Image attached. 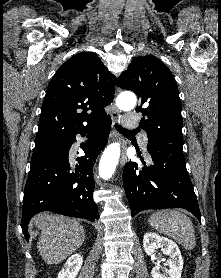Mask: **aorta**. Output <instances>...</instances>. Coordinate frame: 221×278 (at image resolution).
<instances>
[{
    "instance_id": "762f6f07",
    "label": "aorta",
    "mask_w": 221,
    "mask_h": 278,
    "mask_svg": "<svg viewBox=\"0 0 221 278\" xmlns=\"http://www.w3.org/2000/svg\"><path fill=\"white\" fill-rule=\"evenodd\" d=\"M136 104V97L133 94L122 95L117 99V106L123 110H130ZM120 145L110 144L103 152L99 163V175L104 180L112 177L120 158Z\"/></svg>"
}]
</instances>
